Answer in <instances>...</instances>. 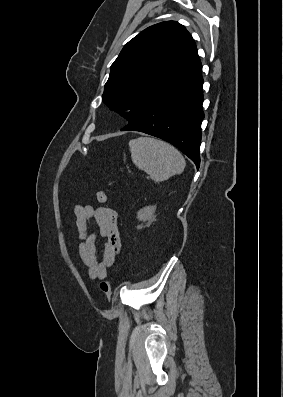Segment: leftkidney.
I'll use <instances>...</instances> for the list:
<instances>
[{
  "label": "left kidney",
  "mask_w": 283,
  "mask_h": 397,
  "mask_svg": "<svg viewBox=\"0 0 283 397\" xmlns=\"http://www.w3.org/2000/svg\"><path fill=\"white\" fill-rule=\"evenodd\" d=\"M156 210V206H147L140 209L137 213V218L139 221H147L154 218V213Z\"/></svg>",
  "instance_id": "obj_1"
}]
</instances>
